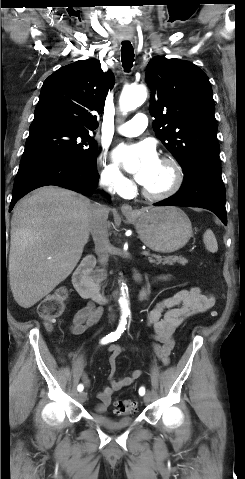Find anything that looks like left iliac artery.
I'll return each mask as SVG.
<instances>
[{
  "instance_id": "left-iliac-artery-1",
  "label": "left iliac artery",
  "mask_w": 245,
  "mask_h": 479,
  "mask_svg": "<svg viewBox=\"0 0 245 479\" xmlns=\"http://www.w3.org/2000/svg\"><path fill=\"white\" fill-rule=\"evenodd\" d=\"M139 394H140L141 396H143V395L145 394V388H144V387H141V388L139 389Z\"/></svg>"
}]
</instances>
